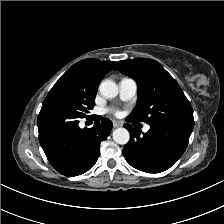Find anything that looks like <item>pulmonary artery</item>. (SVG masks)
<instances>
[{"label": "pulmonary artery", "mask_w": 224, "mask_h": 224, "mask_svg": "<svg viewBox=\"0 0 224 224\" xmlns=\"http://www.w3.org/2000/svg\"><path fill=\"white\" fill-rule=\"evenodd\" d=\"M136 92L137 84L133 79L125 77L119 81V96L121 100H131L136 95ZM149 128L148 125H145L143 130L147 132Z\"/></svg>", "instance_id": "1"}]
</instances>
